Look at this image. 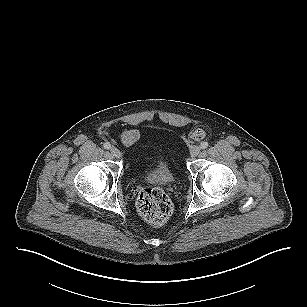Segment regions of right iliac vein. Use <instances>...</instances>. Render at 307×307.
I'll return each mask as SVG.
<instances>
[{
    "label": "right iliac vein",
    "mask_w": 307,
    "mask_h": 307,
    "mask_svg": "<svg viewBox=\"0 0 307 307\" xmlns=\"http://www.w3.org/2000/svg\"><path fill=\"white\" fill-rule=\"evenodd\" d=\"M110 152H111V154H112L114 157H116V158H120V157H121V152H120V150H119L118 148H116V147H111V148H110Z\"/></svg>",
    "instance_id": "63e3f726"
}]
</instances>
